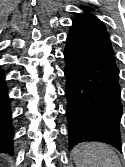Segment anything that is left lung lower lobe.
<instances>
[{"label": "left lung lower lobe", "instance_id": "obj_1", "mask_svg": "<svg viewBox=\"0 0 125 167\" xmlns=\"http://www.w3.org/2000/svg\"><path fill=\"white\" fill-rule=\"evenodd\" d=\"M64 58L69 148L85 141L120 148L119 69L105 25L92 14L77 16Z\"/></svg>", "mask_w": 125, "mask_h": 167}]
</instances>
